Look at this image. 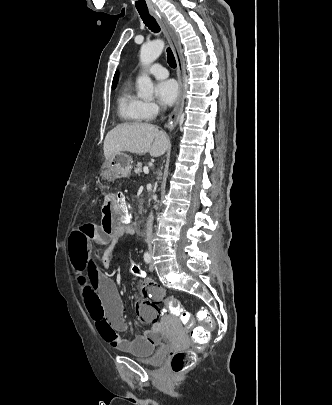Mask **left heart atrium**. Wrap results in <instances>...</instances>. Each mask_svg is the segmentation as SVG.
I'll use <instances>...</instances> for the list:
<instances>
[{
    "label": "left heart atrium",
    "instance_id": "39dd6f15",
    "mask_svg": "<svg viewBox=\"0 0 332 405\" xmlns=\"http://www.w3.org/2000/svg\"><path fill=\"white\" fill-rule=\"evenodd\" d=\"M156 95L163 105H172L179 95V86L173 79L164 80L156 85Z\"/></svg>",
    "mask_w": 332,
    "mask_h": 405
}]
</instances>
